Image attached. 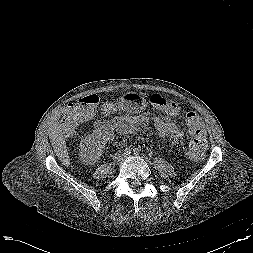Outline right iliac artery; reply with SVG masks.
I'll return each instance as SVG.
<instances>
[{
  "label": "right iliac artery",
  "mask_w": 253,
  "mask_h": 253,
  "mask_svg": "<svg viewBox=\"0 0 253 253\" xmlns=\"http://www.w3.org/2000/svg\"><path fill=\"white\" fill-rule=\"evenodd\" d=\"M131 153V149L130 148H126L124 151L125 155H129Z\"/></svg>",
  "instance_id": "right-iliac-artery-1"
}]
</instances>
